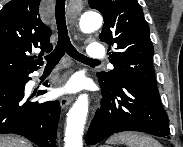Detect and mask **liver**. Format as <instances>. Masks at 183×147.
Returning <instances> with one entry per match:
<instances>
[{"instance_id": "6515ba94", "label": "liver", "mask_w": 183, "mask_h": 147, "mask_svg": "<svg viewBox=\"0 0 183 147\" xmlns=\"http://www.w3.org/2000/svg\"><path fill=\"white\" fill-rule=\"evenodd\" d=\"M0 147H32L26 140L17 136H0Z\"/></svg>"}]
</instances>
